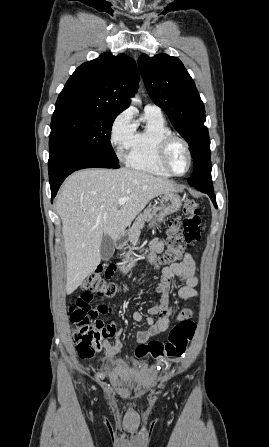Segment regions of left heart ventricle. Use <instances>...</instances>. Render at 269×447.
<instances>
[{"instance_id":"b2bd125f","label":"left heart ventricle","mask_w":269,"mask_h":447,"mask_svg":"<svg viewBox=\"0 0 269 447\" xmlns=\"http://www.w3.org/2000/svg\"><path fill=\"white\" fill-rule=\"evenodd\" d=\"M170 162L177 172H183L188 166V156L180 143H175L170 152Z\"/></svg>"}]
</instances>
